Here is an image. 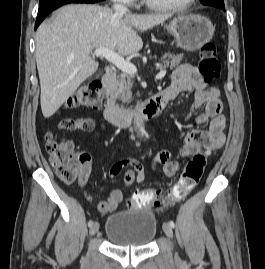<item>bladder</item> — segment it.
<instances>
[{
	"instance_id": "bladder-1",
	"label": "bladder",
	"mask_w": 265,
	"mask_h": 269,
	"mask_svg": "<svg viewBox=\"0 0 265 269\" xmlns=\"http://www.w3.org/2000/svg\"><path fill=\"white\" fill-rule=\"evenodd\" d=\"M157 234V220L151 209L122 210L111 214L105 224V235L118 246L145 247Z\"/></svg>"
}]
</instances>
